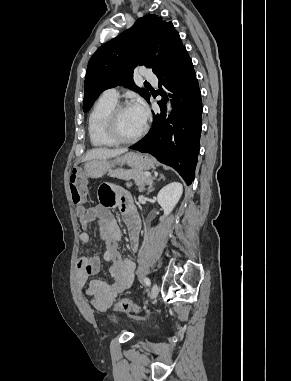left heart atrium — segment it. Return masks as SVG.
Returning a JSON list of instances; mask_svg holds the SVG:
<instances>
[{"label":"left heart atrium","mask_w":291,"mask_h":381,"mask_svg":"<svg viewBox=\"0 0 291 381\" xmlns=\"http://www.w3.org/2000/svg\"><path fill=\"white\" fill-rule=\"evenodd\" d=\"M135 113L138 115L143 124L146 123L148 118V109L142 100H136L131 106Z\"/></svg>","instance_id":"obj_1"}]
</instances>
